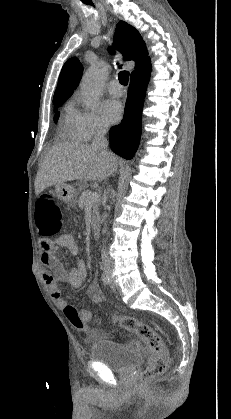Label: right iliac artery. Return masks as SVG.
<instances>
[{
    "instance_id": "1",
    "label": "right iliac artery",
    "mask_w": 231,
    "mask_h": 419,
    "mask_svg": "<svg viewBox=\"0 0 231 419\" xmlns=\"http://www.w3.org/2000/svg\"><path fill=\"white\" fill-rule=\"evenodd\" d=\"M102 281H103V283H104L105 285H108V284H109L110 279H109V277H108V275H107L106 273H103V274H102Z\"/></svg>"
}]
</instances>
